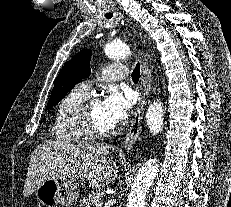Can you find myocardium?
I'll list each match as a JSON object with an SVG mask.
<instances>
[{
  "instance_id": "obj_1",
  "label": "myocardium",
  "mask_w": 231,
  "mask_h": 207,
  "mask_svg": "<svg viewBox=\"0 0 231 207\" xmlns=\"http://www.w3.org/2000/svg\"><path fill=\"white\" fill-rule=\"evenodd\" d=\"M100 100L97 96H90L80 105L77 111V121L81 130L87 137L92 139H103L114 135L117 128L114 126L111 129L100 130L98 129L92 119L93 106L99 103Z\"/></svg>"
}]
</instances>
